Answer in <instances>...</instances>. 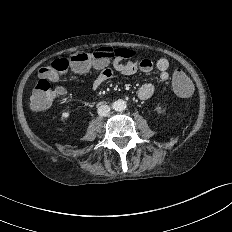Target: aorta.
<instances>
[{
    "instance_id": "obj_1",
    "label": "aorta",
    "mask_w": 232,
    "mask_h": 232,
    "mask_svg": "<svg viewBox=\"0 0 232 232\" xmlns=\"http://www.w3.org/2000/svg\"><path fill=\"white\" fill-rule=\"evenodd\" d=\"M127 108V103L126 101L119 99L113 103V109L115 111H124Z\"/></svg>"
}]
</instances>
